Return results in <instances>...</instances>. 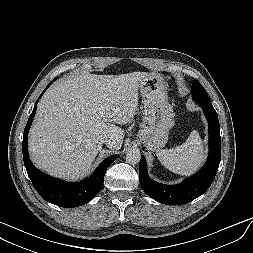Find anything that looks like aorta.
<instances>
[{
  "mask_svg": "<svg viewBox=\"0 0 253 253\" xmlns=\"http://www.w3.org/2000/svg\"><path fill=\"white\" fill-rule=\"evenodd\" d=\"M140 159L141 153L138 149H130L126 153V161L131 165L139 163Z\"/></svg>",
  "mask_w": 253,
  "mask_h": 253,
  "instance_id": "aorta-1",
  "label": "aorta"
}]
</instances>
